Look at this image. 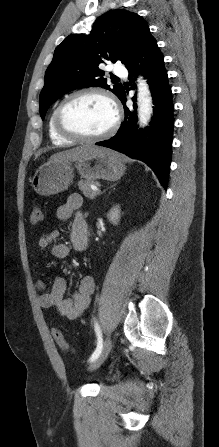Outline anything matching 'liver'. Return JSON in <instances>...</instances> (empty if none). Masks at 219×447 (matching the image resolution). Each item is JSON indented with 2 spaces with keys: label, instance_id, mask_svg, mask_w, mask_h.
I'll use <instances>...</instances> for the list:
<instances>
[{
  "label": "liver",
  "instance_id": "6515ba94",
  "mask_svg": "<svg viewBox=\"0 0 219 447\" xmlns=\"http://www.w3.org/2000/svg\"><path fill=\"white\" fill-rule=\"evenodd\" d=\"M103 148L91 146V145H82L72 149H68L65 151H61L53 154L49 161L50 162H62V161H82L92 157L93 155L99 153Z\"/></svg>",
  "mask_w": 219,
  "mask_h": 447
}]
</instances>
